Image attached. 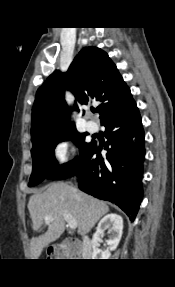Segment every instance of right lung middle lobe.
I'll use <instances>...</instances> for the list:
<instances>
[{
	"mask_svg": "<svg viewBox=\"0 0 175 287\" xmlns=\"http://www.w3.org/2000/svg\"><path fill=\"white\" fill-rule=\"evenodd\" d=\"M85 134L80 135L76 128H71L33 143L31 150L33 171L28 186H35L44 179L57 180L74 170L85 158L93 142L84 141ZM71 139L79 147V158L63 165H58L54 157V148L59 141Z\"/></svg>",
	"mask_w": 175,
	"mask_h": 287,
	"instance_id": "dd1d6c3e",
	"label": "right lung middle lobe"
}]
</instances>
